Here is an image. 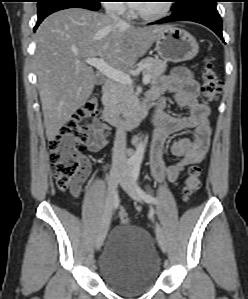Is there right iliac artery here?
<instances>
[{"label":"right iliac artery","mask_w":248,"mask_h":299,"mask_svg":"<svg viewBox=\"0 0 248 299\" xmlns=\"http://www.w3.org/2000/svg\"><path fill=\"white\" fill-rule=\"evenodd\" d=\"M134 163H135V161L132 160V159H129V160L127 161V165H128V166H131V165H133Z\"/></svg>","instance_id":"right-iliac-artery-1"}]
</instances>
